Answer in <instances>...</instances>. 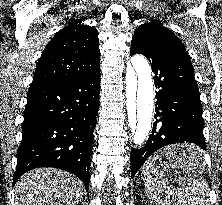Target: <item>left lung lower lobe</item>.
Segmentation results:
<instances>
[{
    "instance_id": "obj_1",
    "label": "left lung lower lobe",
    "mask_w": 222,
    "mask_h": 205,
    "mask_svg": "<svg viewBox=\"0 0 222 205\" xmlns=\"http://www.w3.org/2000/svg\"><path fill=\"white\" fill-rule=\"evenodd\" d=\"M143 54L155 74L156 121L148 142L130 155L131 176L137 173L156 150L175 143H193L206 149L204 120L192 62L185 49L177 46L151 45L132 39L130 55ZM202 159L200 150H187L168 159L175 165H194Z\"/></svg>"
}]
</instances>
